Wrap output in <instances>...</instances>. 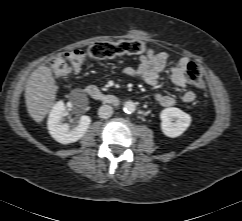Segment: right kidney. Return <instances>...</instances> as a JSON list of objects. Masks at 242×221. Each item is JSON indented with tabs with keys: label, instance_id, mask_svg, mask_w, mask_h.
Wrapping results in <instances>:
<instances>
[{
	"label": "right kidney",
	"instance_id": "obj_1",
	"mask_svg": "<svg viewBox=\"0 0 242 221\" xmlns=\"http://www.w3.org/2000/svg\"><path fill=\"white\" fill-rule=\"evenodd\" d=\"M75 102L72 106H76ZM66 116V106L63 101H58L53 107L48 118V130L50 135L61 144H69L78 141L84 136L91 118L83 115L80 117L79 124L71 128L68 123H63V117Z\"/></svg>",
	"mask_w": 242,
	"mask_h": 221
}]
</instances>
